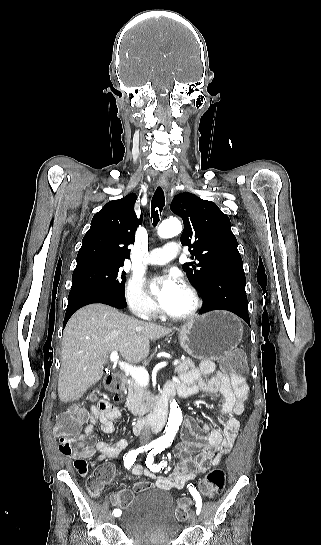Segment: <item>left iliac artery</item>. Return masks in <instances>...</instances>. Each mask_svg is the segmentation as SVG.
<instances>
[{"label":"left iliac artery","mask_w":321,"mask_h":545,"mask_svg":"<svg viewBox=\"0 0 321 545\" xmlns=\"http://www.w3.org/2000/svg\"><path fill=\"white\" fill-rule=\"evenodd\" d=\"M165 449L164 446H161V445H158L156 446L154 449H152L150 451V453L148 454L147 458H146V465L148 468H150L152 471L154 472H157L161 469H163L164 466H166V463H161V464H158V465H153V461H154V456L158 453H161L163 450ZM188 488H189V491L190 493L192 494V496L194 497L195 501H196V507H197V514L200 513L201 511V507H202V500H201V496L200 494L196 491V489H194L192 486H189L188 485Z\"/></svg>","instance_id":"obj_1"}]
</instances>
